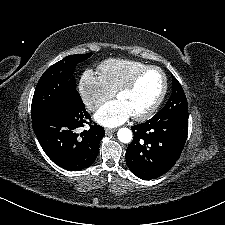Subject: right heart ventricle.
<instances>
[{
	"mask_svg": "<svg viewBox=\"0 0 225 225\" xmlns=\"http://www.w3.org/2000/svg\"><path fill=\"white\" fill-rule=\"evenodd\" d=\"M145 66L146 64L139 61L110 58L98 65V71L105 86L114 94L138 70Z\"/></svg>",
	"mask_w": 225,
	"mask_h": 225,
	"instance_id": "1",
	"label": "right heart ventricle"
}]
</instances>
